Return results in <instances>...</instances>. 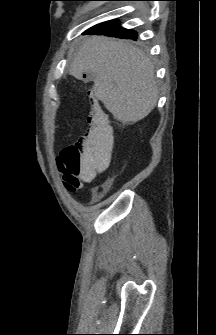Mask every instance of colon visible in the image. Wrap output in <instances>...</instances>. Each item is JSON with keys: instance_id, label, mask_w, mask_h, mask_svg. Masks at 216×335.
<instances>
[{"instance_id": "1", "label": "colon", "mask_w": 216, "mask_h": 335, "mask_svg": "<svg viewBox=\"0 0 216 335\" xmlns=\"http://www.w3.org/2000/svg\"><path fill=\"white\" fill-rule=\"evenodd\" d=\"M87 122L82 139L63 149L58 157L63 184L69 191L82 184L81 178H101V172H111L113 165L112 127L96 103L92 104Z\"/></svg>"}]
</instances>
